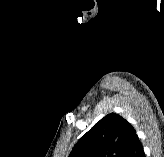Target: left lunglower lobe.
Masks as SVG:
<instances>
[{
	"label": "left lung lower lobe",
	"mask_w": 164,
	"mask_h": 157,
	"mask_svg": "<svg viewBox=\"0 0 164 157\" xmlns=\"http://www.w3.org/2000/svg\"><path fill=\"white\" fill-rule=\"evenodd\" d=\"M123 157H145L143 146L137 134L133 137Z\"/></svg>",
	"instance_id": "left-lung-lower-lobe-1"
}]
</instances>
